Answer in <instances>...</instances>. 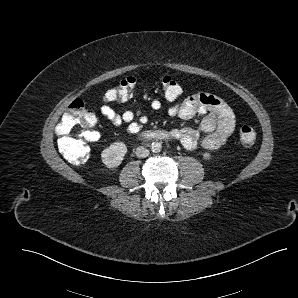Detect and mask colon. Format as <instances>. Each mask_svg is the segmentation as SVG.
<instances>
[{
	"instance_id": "1",
	"label": "colon",
	"mask_w": 298,
	"mask_h": 298,
	"mask_svg": "<svg viewBox=\"0 0 298 298\" xmlns=\"http://www.w3.org/2000/svg\"><path fill=\"white\" fill-rule=\"evenodd\" d=\"M136 79L125 77L109 89L105 98L109 101L124 102L133 95ZM163 95L173 101L180 97L182 88L177 80L171 76L161 79ZM96 117L87 110L82 99H75L64 112L56 127L58 146L60 151L73 164L80 165L89 158L88 144L96 142L99 134L95 130ZM240 142L245 147H253L256 142V132L250 125H242L239 132Z\"/></svg>"
}]
</instances>
